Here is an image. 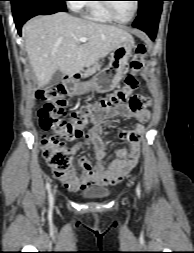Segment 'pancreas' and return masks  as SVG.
I'll return each instance as SVG.
<instances>
[{"label": "pancreas", "instance_id": "1", "mask_svg": "<svg viewBox=\"0 0 194 253\" xmlns=\"http://www.w3.org/2000/svg\"><path fill=\"white\" fill-rule=\"evenodd\" d=\"M99 68V65L96 64L94 65L93 67L87 69L84 74H83V77H87L89 75H92L93 73H95V71Z\"/></svg>", "mask_w": 194, "mask_h": 253}]
</instances>
